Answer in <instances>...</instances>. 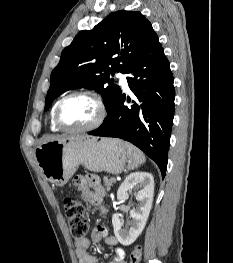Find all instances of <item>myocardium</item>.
I'll use <instances>...</instances> for the list:
<instances>
[{
  "label": "myocardium",
  "instance_id": "obj_1",
  "mask_svg": "<svg viewBox=\"0 0 233 263\" xmlns=\"http://www.w3.org/2000/svg\"><path fill=\"white\" fill-rule=\"evenodd\" d=\"M77 96H86V97L93 99L98 107V115L96 119L88 126L81 127V128H71V127L66 126L62 122L61 109L67 100L73 97H77ZM106 114H107V108H106L105 102L98 93L94 91H89V90H81V91H75V92L69 93L66 96H64L62 99L59 100L56 106V109H55L54 120H55L56 125L61 130L72 132V133H83V132L93 131L97 129L98 127H100L103 121L105 120Z\"/></svg>",
  "mask_w": 233,
  "mask_h": 263
}]
</instances>
